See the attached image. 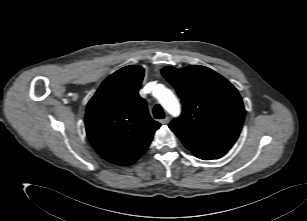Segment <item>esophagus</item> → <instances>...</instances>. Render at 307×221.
I'll list each match as a JSON object with an SVG mask.
<instances>
[{
  "mask_svg": "<svg viewBox=\"0 0 307 221\" xmlns=\"http://www.w3.org/2000/svg\"><path fill=\"white\" fill-rule=\"evenodd\" d=\"M170 121V118L168 116H166L164 119L160 120V123L163 125L168 124Z\"/></svg>",
  "mask_w": 307,
  "mask_h": 221,
  "instance_id": "1",
  "label": "esophagus"
}]
</instances>
